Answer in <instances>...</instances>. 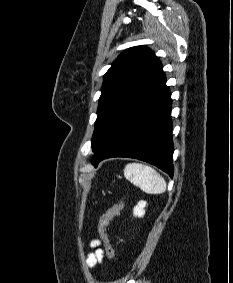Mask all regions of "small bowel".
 <instances>
[{
	"label": "small bowel",
	"instance_id": "c3829d8e",
	"mask_svg": "<svg viewBox=\"0 0 233 283\" xmlns=\"http://www.w3.org/2000/svg\"><path fill=\"white\" fill-rule=\"evenodd\" d=\"M100 242L97 239L91 241L90 246L94 248V252L90 253L86 259L87 266L89 268L95 267L103 259L104 252L99 248Z\"/></svg>",
	"mask_w": 233,
	"mask_h": 283
}]
</instances>
